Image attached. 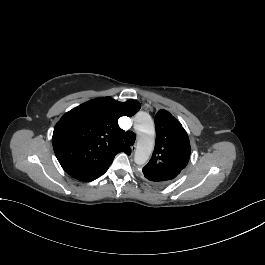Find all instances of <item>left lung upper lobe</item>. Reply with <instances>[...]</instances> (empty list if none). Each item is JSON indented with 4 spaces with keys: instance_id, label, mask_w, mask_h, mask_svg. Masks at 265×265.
Listing matches in <instances>:
<instances>
[{
    "instance_id": "obj_1",
    "label": "left lung upper lobe",
    "mask_w": 265,
    "mask_h": 265,
    "mask_svg": "<svg viewBox=\"0 0 265 265\" xmlns=\"http://www.w3.org/2000/svg\"><path fill=\"white\" fill-rule=\"evenodd\" d=\"M156 141L152 157L142 172L147 180L164 185L188 164L190 142L181 123L166 110L155 116Z\"/></svg>"
}]
</instances>
